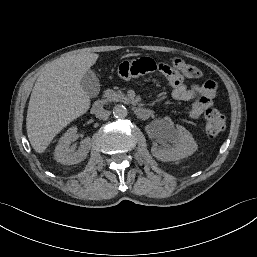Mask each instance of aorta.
Instances as JSON below:
<instances>
[{"label": "aorta", "instance_id": "1", "mask_svg": "<svg viewBox=\"0 0 257 257\" xmlns=\"http://www.w3.org/2000/svg\"><path fill=\"white\" fill-rule=\"evenodd\" d=\"M113 115L116 118H125L128 115V110L124 105H115L113 108Z\"/></svg>", "mask_w": 257, "mask_h": 257}]
</instances>
